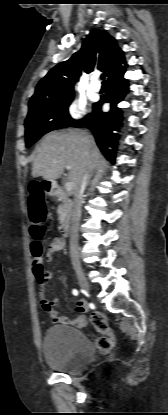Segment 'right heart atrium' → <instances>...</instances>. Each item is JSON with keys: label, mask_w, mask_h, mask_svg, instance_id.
<instances>
[{"label": "right heart atrium", "mask_w": 168, "mask_h": 415, "mask_svg": "<svg viewBox=\"0 0 168 415\" xmlns=\"http://www.w3.org/2000/svg\"><path fill=\"white\" fill-rule=\"evenodd\" d=\"M86 114L87 107L82 101H72L66 108V117L73 122L82 120Z\"/></svg>", "instance_id": "1"}]
</instances>
